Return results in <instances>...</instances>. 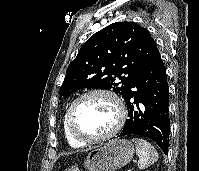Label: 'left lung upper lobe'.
<instances>
[{
  "instance_id": "obj_1",
  "label": "left lung upper lobe",
  "mask_w": 199,
  "mask_h": 171,
  "mask_svg": "<svg viewBox=\"0 0 199 171\" xmlns=\"http://www.w3.org/2000/svg\"><path fill=\"white\" fill-rule=\"evenodd\" d=\"M157 50L149 31L134 22H116L96 32L67 68L60 95L82 88L111 89L123 98ZM120 80V82H119Z\"/></svg>"
}]
</instances>
